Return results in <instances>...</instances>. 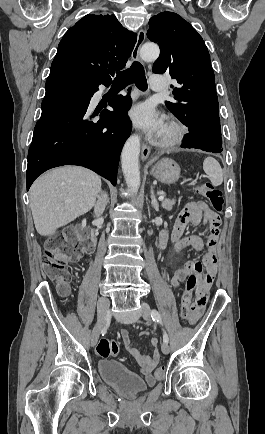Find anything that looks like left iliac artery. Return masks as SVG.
Instances as JSON below:
<instances>
[{
    "mask_svg": "<svg viewBox=\"0 0 265 434\" xmlns=\"http://www.w3.org/2000/svg\"><path fill=\"white\" fill-rule=\"evenodd\" d=\"M151 317H152V319L154 321L159 322L160 324H162L161 316H160L159 312L156 309H153L151 311ZM163 341L165 343H167V344L169 342V337H168V335H167V333L165 331L163 333Z\"/></svg>",
    "mask_w": 265,
    "mask_h": 434,
    "instance_id": "1",
    "label": "left iliac artery"
}]
</instances>
